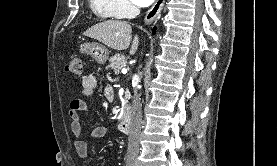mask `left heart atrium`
I'll return each instance as SVG.
<instances>
[{
    "mask_svg": "<svg viewBox=\"0 0 277 166\" xmlns=\"http://www.w3.org/2000/svg\"><path fill=\"white\" fill-rule=\"evenodd\" d=\"M154 0H132L134 4L140 7H146L150 5Z\"/></svg>",
    "mask_w": 277,
    "mask_h": 166,
    "instance_id": "39dd6f15",
    "label": "left heart atrium"
}]
</instances>
